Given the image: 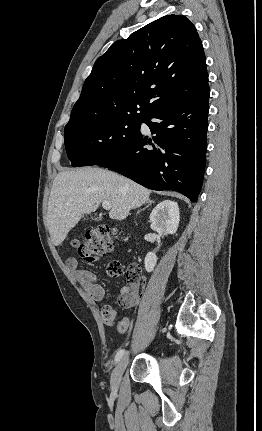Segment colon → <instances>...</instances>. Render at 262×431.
I'll return each mask as SVG.
<instances>
[{
	"instance_id": "obj_1",
	"label": "colon",
	"mask_w": 262,
	"mask_h": 431,
	"mask_svg": "<svg viewBox=\"0 0 262 431\" xmlns=\"http://www.w3.org/2000/svg\"><path fill=\"white\" fill-rule=\"evenodd\" d=\"M70 247L74 249L78 257L87 262L94 261L97 257L103 256L115 247V243L110 238V229L107 225H101L95 230L88 233L83 240L73 239L70 241ZM107 271L112 276H117L122 273V266L118 262H111L107 266ZM131 278H136L139 275V269L132 265L128 272ZM105 323L112 324L115 319L111 316V312L102 314ZM129 327V321L125 318L117 322V328L124 332Z\"/></svg>"
}]
</instances>
